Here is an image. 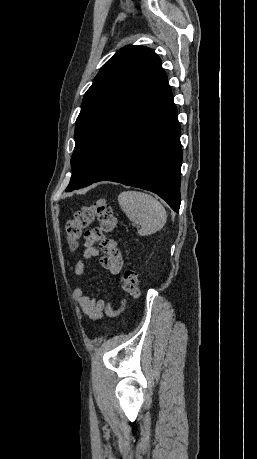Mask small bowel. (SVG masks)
Wrapping results in <instances>:
<instances>
[{
	"instance_id": "obj_1",
	"label": "small bowel",
	"mask_w": 257,
	"mask_h": 459,
	"mask_svg": "<svg viewBox=\"0 0 257 459\" xmlns=\"http://www.w3.org/2000/svg\"><path fill=\"white\" fill-rule=\"evenodd\" d=\"M94 257H99L101 266L112 275L118 274L122 269L123 259L117 242L112 239L102 238L98 230H93L86 234L83 258L76 261L74 275L82 277L86 271V261ZM73 297L76 299L81 312L91 320H98L102 318L103 314L110 317L118 316L126 306V301L123 299L121 300V306L118 309H114L110 302L96 299L89 295L83 287H76L73 290Z\"/></svg>"
}]
</instances>
